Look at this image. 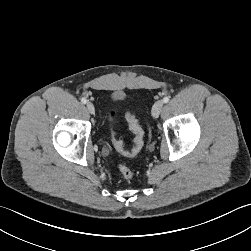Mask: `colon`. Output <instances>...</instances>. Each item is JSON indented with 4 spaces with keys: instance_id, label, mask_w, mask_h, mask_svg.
I'll list each match as a JSON object with an SVG mask.
<instances>
[{
    "instance_id": "colon-1",
    "label": "colon",
    "mask_w": 251,
    "mask_h": 251,
    "mask_svg": "<svg viewBox=\"0 0 251 251\" xmlns=\"http://www.w3.org/2000/svg\"><path fill=\"white\" fill-rule=\"evenodd\" d=\"M109 116L110 119H113L114 115L112 112H110ZM126 119L128 121L130 130L134 134L133 147L131 149H126L123 145V142L116 137L114 132H112L113 143L115 148L122 154L126 156H134L142 149L144 143V132L141 126L139 125L137 119L132 114L127 113ZM118 169L124 179L130 180L133 178V171L128 166L124 164H119Z\"/></svg>"
}]
</instances>
